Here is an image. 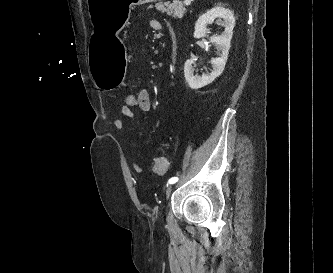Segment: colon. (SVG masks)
Segmentation results:
<instances>
[{
  "instance_id": "5ec220e1",
  "label": "colon",
  "mask_w": 333,
  "mask_h": 273,
  "mask_svg": "<svg viewBox=\"0 0 333 273\" xmlns=\"http://www.w3.org/2000/svg\"><path fill=\"white\" fill-rule=\"evenodd\" d=\"M138 105V94L129 93L124 97V106L132 109ZM169 168L168 158L161 156L154 160L152 165V172L157 175H163L167 172Z\"/></svg>"
}]
</instances>
